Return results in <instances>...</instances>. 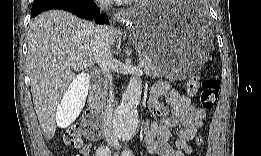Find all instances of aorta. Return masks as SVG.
<instances>
[{
	"mask_svg": "<svg viewBox=\"0 0 261 156\" xmlns=\"http://www.w3.org/2000/svg\"><path fill=\"white\" fill-rule=\"evenodd\" d=\"M142 84L137 75H132L122 96V102L112 116L115 133L123 141L137 132L139 117L137 107L141 100Z\"/></svg>",
	"mask_w": 261,
	"mask_h": 156,
	"instance_id": "762f6f07",
	"label": "aorta"
}]
</instances>
